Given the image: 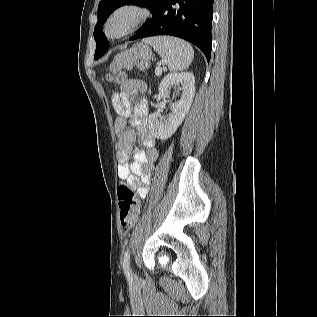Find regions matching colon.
Segmentation results:
<instances>
[{
    "mask_svg": "<svg viewBox=\"0 0 317 317\" xmlns=\"http://www.w3.org/2000/svg\"><path fill=\"white\" fill-rule=\"evenodd\" d=\"M145 61L140 62V66L144 67ZM129 66L127 55L117 56L110 65L108 79L114 83H123L125 76L123 70ZM119 218L120 223L124 227L133 226L140 214V204L133 192V189L128 185H121L117 191Z\"/></svg>",
    "mask_w": 317,
    "mask_h": 317,
    "instance_id": "obj_1",
    "label": "colon"
}]
</instances>
